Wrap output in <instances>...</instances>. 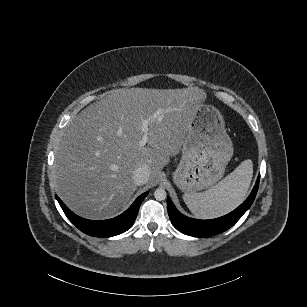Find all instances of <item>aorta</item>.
I'll return each instance as SVG.
<instances>
[{
	"mask_svg": "<svg viewBox=\"0 0 307 307\" xmlns=\"http://www.w3.org/2000/svg\"><path fill=\"white\" fill-rule=\"evenodd\" d=\"M154 197L156 200H164L166 198V191L164 188H157L154 192Z\"/></svg>",
	"mask_w": 307,
	"mask_h": 307,
	"instance_id": "762f6f07",
	"label": "aorta"
}]
</instances>
